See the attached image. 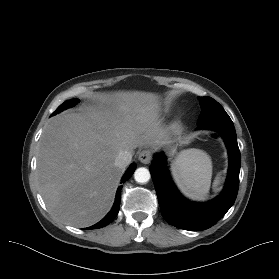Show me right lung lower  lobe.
Here are the masks:
<instances>
[{"instance_id": "98d812e1", "label": "right lung lower lobe", "mask_w": 279, "mask_h": 279, "mask_svg": "<svg viewBox=\"0 0 279 279\" xmlns=\"http://www.w3.org/2000/svg\"><path fill=\"white\" fill-rule=\"evenodd\" d=\"M135 169H136V165L132 164L130 166V168L128 169L127 173L122 177L121 183H124L125 181L129 180V178L134 173ZM121 188H122V186H120L117 190L115 202H114V205H113L111 211L100 222L89 227L88 229H97V228L104 227L115 219V217L117 216V214L119 212V208H120Z\"/></svg>"}]
</instances>
